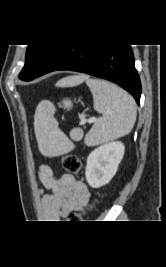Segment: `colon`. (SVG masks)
<instances>
[{"label": "colon", "instance_id": "obj_1", "mask_svg": "<svg viewBox=\"0 0 166 267\" xmlns=\"http://www.w3.org/2000/svg\"><path fill=\"white\" fill-rule=\"evenodd\" d=\"M62 166L70 174H77L81 170V160L73 154H67L62 157ZM83 214H73L71 215V220H82Z\"/></svg>", "mask_w": 166, "mask_h": 267}]
</instances>
